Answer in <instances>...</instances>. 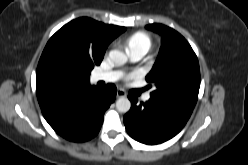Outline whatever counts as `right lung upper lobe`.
Here are the masks:
<instances>
[{
	"mask_svg": "<svg viewBox=\"0 0 248 165\" xmlns=\"http://www.w3.org/2000/svg\"><path fill=\"white\" fill-rule=\"evenodd\" d=\"M126 30L91 18L75 19L59 29L48 41L36 71V93L40 107L82 94L90 85L89 67L99 65L107 46ZM54 46L78 50L86 62L85 68H65L50 60L48 51Z\"/></svg>",
	"mask_w": 248,
	"mask_h": 165,
	"instance_id": "obj_1",
	"label": "right lung upper lobe"
}]
</instances>
